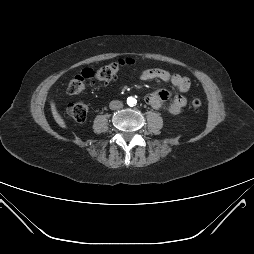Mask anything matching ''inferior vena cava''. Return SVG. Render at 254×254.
<instances>
[{
  "mask_svg": "<svg viewBox=\"0 0 254 254\" xmlns=\"http://www.w3.org/2000/svg\"><path fill=\"white\" fill-rule=\"evenodd\" d=\"M109 107L112 110H118V109H121L123 107V103L119 100H113V101L110 102Z\"/></svg>",
  "mask_w": 254,
  "mask_h": 254,
  "instance_id": "1",
  "label": "inferior vena cava"
}]
</instances>
